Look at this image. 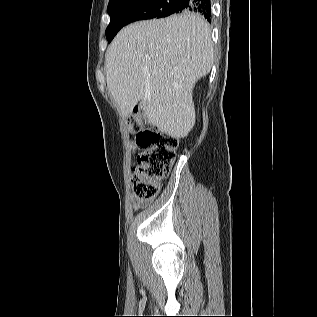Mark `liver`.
<instances>
[{
    "instance_id": "6515ba94",
    "label": "liver",
    "mask_w": 317,
    "mask_h": 317,
    "mask_svg": "<svg viewBox=\"0 0 317 317\" xmlns=\"http://www.w3.org/2000/svg\"><path fill=\"white\" fill-rule=\"evenodd\" d=\"M207 21L197 14L140 21L119 31L106 53L107 87L128 117L144 118L174 138L195 124L193 88L213 65Z\"/></svg>"
}]
</instances>
